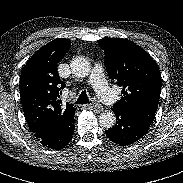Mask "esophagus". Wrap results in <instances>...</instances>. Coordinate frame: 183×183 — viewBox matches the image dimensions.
Listing matches in <instances>:
<instances>
[{"mask_svg": "<svg viewBox=\"0 0 183 183\" xmlns=\"http://www.w3.org/2000/svg\"><path fill=\"white\" fill-rule=\"evenodd\" d=\"M84 108L93 110L97 113H100L103 111V107L98 104H86V105H84Z\"/></svg>", "mask_w": 183, "mask_h": 183, "instance_id": "34e87169", "label": "esophagus"}]
</instances>
